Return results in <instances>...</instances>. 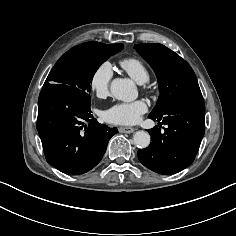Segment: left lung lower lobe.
<instances>
[{
  "label": "left lung lower lobe",
  "instance_id": "1",
  "mask_svg": "<svg viewBox=\"0 0 236 236\" xmlns=\"http://www.w3.org/2000/svg\"><path fill=\"white\" fill-rule=\"evenodd\" d=\"M167 125L149 130L151 144L137 152L140 162L159 174H175L194 161L205 132V104L201 94L184 96L161 116H148ZM160 124V123H159Z\"/></svg>",
  "mask_w": 236,
  "mask_h": 236
}]
</instances>
